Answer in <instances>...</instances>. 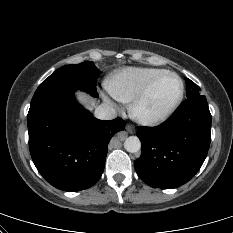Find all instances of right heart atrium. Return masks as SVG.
I'll use <instances>...</instances> for the list:
<instances>
[{"label":"right heart atrium","mask_w":233,"mask_h":233,"mask_svg":"<svg viewBox=\"0 0 233 233\" xmlns=\"http://www.w3.org/2000/svg\"><path fill=\"white\" fill-rule=\"evenodd\" d=\"M105 100L109 102V99L107 97H105Z\"/></svg>","instance_id":"right-heart-atrium-1"}]
</instances>
